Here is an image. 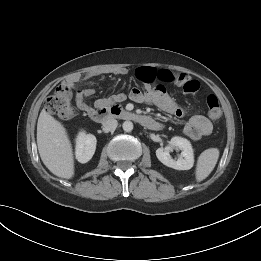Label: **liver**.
Here are the masks:
<instances>
[{"label": "liver", "mask_w": 261, "mask_h": 261, "mask_svg": "<svg viewBox=\"0 0 261 261\" xmlns=\"http://www.w3.org/2000/svg\"><path fill=\"white\" fill-rule=\"evenodd\" d=\"M37 146L41 160L54 175L65 179L73 177V149L66 129L44 109L37 123Z\"/></svg>", "instance_id": "obj_1"}]
</instances>
